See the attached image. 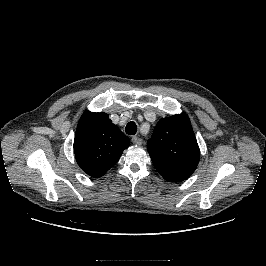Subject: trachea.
<instances>
[{
    "label": "trachea",
    "instance_id": "1",
    "mask_svg": "<svg viewBox=\"0 0 266 266\" xmlns=\"http://www.w3.org/2000/svg\"><path fill=\"white\" fill-rule=\"evenodd\" d=\"M125 131L129 135H135L137 132V125L131 121L126 125Z\"/></svg>",
    "mask_w": 266,
    "mask_h": 266
}]
</instances>
